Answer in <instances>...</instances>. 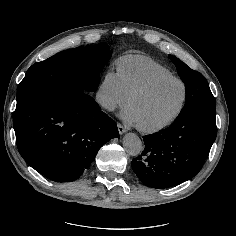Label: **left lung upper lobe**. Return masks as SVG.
<instances>
[{
	"instance_id": "1",
	"label": "left lung upper lobe",
	"mask_w": 236,
	"mask_h": 236,
	"mask_svg": "<svg viewBox=\"0 0 236 236\" xmlns=\"http://www.w3.org/2000/svg\"><path fill=\"white\" fill-rule=\"evenodd\" d=\"M169 58L175 64L179 76L185 83L186 102L178 116L193 111L215 113V99L203 75L188 67L178 58L172 55H169Z\"/></svg>"
}]
</instances>
